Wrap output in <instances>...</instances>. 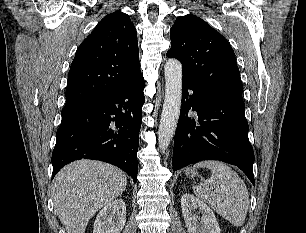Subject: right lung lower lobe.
Instances as JSON below:
<instances>
[{
  "label": "right lung lower lobe",
  "instance_id": "98d812e1",
  "mask_svg": "<svg viewBox=\"0 0 306 233\" xmlns=\"http://www.w3.org/2000/svg\"><path fill=\"white\" fill-rule=\"evenodd\" d=\"M144 87L139 74L110 97L63 109L52 153V179L66 164L88 158L113 164L136 182Z\"/></svg>",
  "mask_w": 306,
  "mask_h": 233
}]
</instances>
